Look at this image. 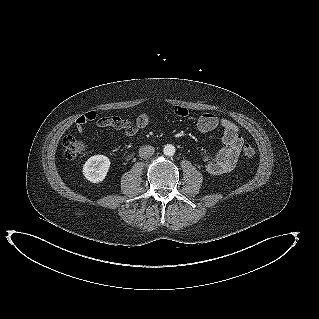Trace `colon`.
<instances>
[{
  "label": "colon",
  "instance_id": "1",
  "mask_svg": "<svg viewBox=\"0 0 319 319\" xmlns=\"http://www.w3.org/2000/svg\"><path fill=\"white\" fill-rule=\"evenodd\" d=\"M94 114L92 112L81 116L76 122L80 124H86L88 121L94 119ZM64 155L68 159H73L78 155L82 154L86 146L84 142L77 139L75 136L68 135L63 139ZM243 155L246 159H253L256 155V150L250 145H246L243 148Z\"/></svg>",
  "mask_w": 319,
  "mask_h": 319
}]
</instances>
